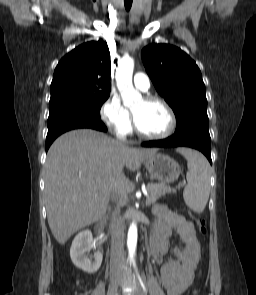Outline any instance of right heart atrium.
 <instances>
[{
    "label": "right heart atrium",
    "instance_id": "d8ad5b80",
    "mask_svg": "<svg viewBox=\"0 0 256 295\" xmlns=\"http://www.w3.org/2000/svg\"><path fill=\"white\" fill-rule=\"evenodd\" d=\"M100 116L118 136H125L131 129L129 111L121 104L116 95H111L101 106Z\"/></svg>",
    "mask_w": 256,
    "mask_h": 295
}]
</instances>
